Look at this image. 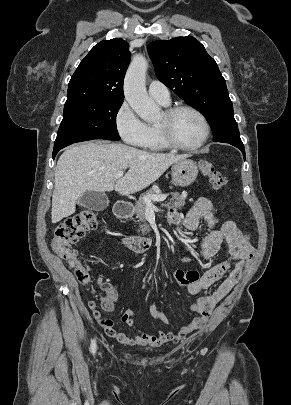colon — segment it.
I'll use <instances>...</instances> for the list:
<instances>
[{
    "label": "colon",
    "instance_id": "5ec220e1",
    "mask_svg": "<svg viewBox=\"0 0 291 405\" xmlns=\"http://www.w3.org/2000/svg\"><path fill=\"white\" fill-rule=\"evenodd\" d=\"M199 170L203 176L209 178L215 189H220L226 184V179L215 169L214 165L207 161L199 162ZM99 219L91 209H84L79 213L63 221L55 231L51 246L55 253L69 263L74 269L76 279L83 285H92L94 277L89 266L81 263L77 252L71 245L77 242L86 232L97 228ZM173 280L181 286H188L199 279L196 271H185L177 269L171 273ZM107 304V298L103 300V305Z\"/></svg>",
    "mask_w": 291,
    "mask_h": 405
}]
</instances>
